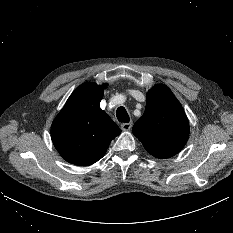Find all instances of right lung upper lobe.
<instances>
[{"mask_svg":"<svg viewBox=\"0 0 233 233\" xmlns=\"http://www.w3.org/2000/svg\"><path fill=\"white\" fill-rule=\"evenodd\" d=\"M106 85L85 82L68 98L51 126V138L67 162L88 166L101 159L121 129L100 108Z\"/></svg>","mask_w":233,"mask_h":233,"instance_id":"1","label":"right lung upper lobe"}]
</instances>
